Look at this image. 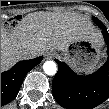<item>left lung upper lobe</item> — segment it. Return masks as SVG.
I'll use <instances>...</instances> for the list:
<instances>
[{"instance_id":"left-lung-upper-lobe-1","label":"left lung upper lobe","mask_w":109,"mask_h":109,"mask_svg":"<svg viewBox=\"0 0 109 109\" xmlns=\"http://www.w3.org/2000/svg\"><path fill=\"white\" fill-rule=\"evenodd\" d=\"M94 20H97L98 22H101L100 20H98V19H97V18H95V17L93 18V21H94Z\"/></svg>"}]
</instances>
